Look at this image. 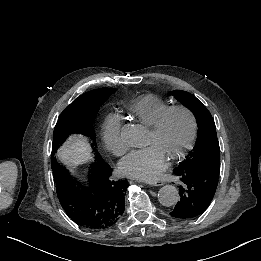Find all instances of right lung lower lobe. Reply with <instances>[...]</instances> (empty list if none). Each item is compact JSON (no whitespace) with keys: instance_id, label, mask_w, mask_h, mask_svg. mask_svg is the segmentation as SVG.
Wrapping results in <instances>:
<instances>
[{"instance_id":"1","label":"right lung lower lobe","mask_w":261,"mask_h":261,"mask_svg":"<svg viewBox=\"0 0 261 261\" xmlns=\"http://www.w3.org/2000/svg\"><path fill=\"white\" fill-rule=\"evenodd\" d=\"M90 185L76 189L68 171L55 179L57 196L68 217L88 229H105L115 224L124 212L128 182L113 180L112 169L101 159L92 164Z\"/></svg>"}]
</instances>
